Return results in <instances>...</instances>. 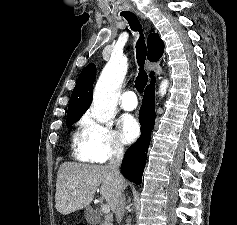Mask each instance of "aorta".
Returning a JSON list of instances; mask_svg holds the SVG:
<instances>
[{
  "label": "aorta",
  "instance_id": "762f6f07",
  "mask_svg": "<svg viewBox=\"0 0 237 225\" xmlns=\"http://www.w3.org/2000/svg\"><path fill=\"white\" fill-rule=\"evenodd\" d=\"M126 72V58L111 56L102 70L93 93L91 113L97 121L107 123L112 118ZM167 88L168 80L162 81L159 88L161 96L166 94Z\"/></svg>",
  "mask_w": 237,
  "mask_h": 225
}]
</instances>
